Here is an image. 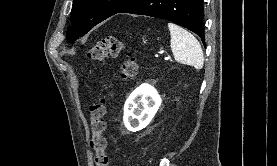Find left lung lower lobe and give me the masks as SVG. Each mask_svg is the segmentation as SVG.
<instances>
[{
    "label": "left lung lower lobe",
    "mask_w": 277,
    "mask_h": 166,
    "mask_svg": "<svg viewBox=\"0 0 277 166\" xmlns=\"http://www.w3.org/2000/svg\"><path fill=\"white\" fill-rule=\"evenodd\" d=\"M117 13L172 21L196 33L205 45L202 0H134Z\"/></svg>",
    "instance_id": "left-lung-lower-lobe-1"
}]
</instances>
